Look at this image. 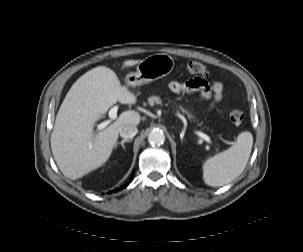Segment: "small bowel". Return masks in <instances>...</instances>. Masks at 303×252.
<instances>
[{"mask_svg": "<svg viewBox=\"0 0 303 252\" xmlns=\"http://www.w3.org/2000/svg\"><path fill=\"white\" fill-rule=\"evenodd\" d=\"M169 89L174 94H190L199 93L202 98L207 96L208 92H212L214 102H218L222 97L223 85L215 81L211 85L202 78H193L184 82L171 81Z\"/></svg>", "mask_w": 303, "mask_h": 252, "instance_id": "c3829d8e", "label": "small bowel"}]
</instances>
